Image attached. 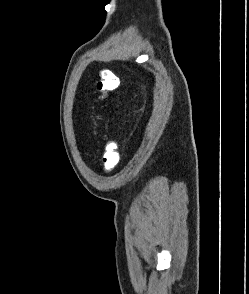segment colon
I'll list each match as a JSON object with an SVG mask.
<instances>
[{"label":"colon","mask_w":249,"mask_h":294,"mask_svg":"<svg viewBox=\"0 0 249 294\" xmlns=\"http://www.w3.org/2000/svg\"><path fill=\"white\" fill-rule=\"evenodd\" d=\"M120 79L115 76L114 79L110 80L105 76L101 77L98 81V95L97 101L104 104L108 101L110 95L118 88ZM115 144L109 143L107 151L104 156V169L106 171L112 170L119 161V153L115 150Z\"/></svg>","instance_id":"colon-1"}]
</instances>
